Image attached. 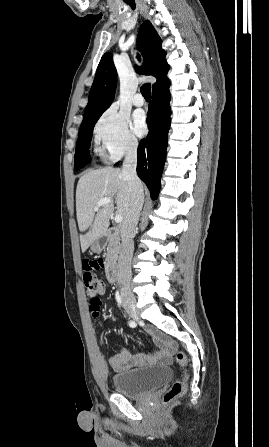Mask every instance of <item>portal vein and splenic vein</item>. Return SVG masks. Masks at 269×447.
<instances>
[{"mask_svg":"<svg viewBox=\"0 0 269 447\" xmlns=\"http://www.w3.org/2000/svg\"><path fill=\"white\" fill-rule=\"evenodd\" d=\"M105 204H111L110 198H102V200H99V202H97V206L93 208L94 212H98L99 208H101V206H105ZM114 220L116 224H121L123 218L120 214H116Z\"/></svg>","mask_w":269,"mask_h":447,"instance_id":"1","label":"portal vein and splenic vein"}]
</instances>
